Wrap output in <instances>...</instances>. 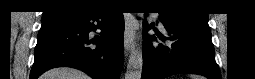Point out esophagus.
I'll return each mask as SVG.
<instances>
[{"mask_svg":"<svg viewBox=\"0 0 255 79\" xmlns=\"http://www.w3.org/2000/svg\"><path fill=\"white\" fill-rule=\"evenodd\" d=\"M124 50L126 56L134 49L135 33L139 28L138 21L133 14L125 13Z\"/></svg>","mask_w":255,"mask_h":79,"instance_id":"esophagus-1","label":"esophagus"}]
</instances>
